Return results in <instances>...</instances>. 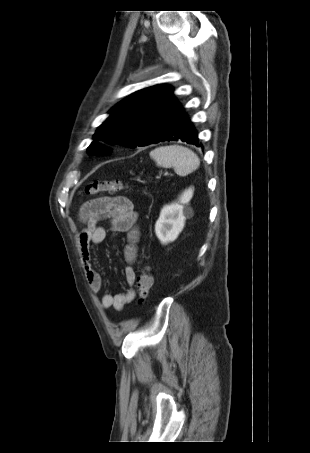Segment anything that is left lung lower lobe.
Listing matches in <instances>:
<instances>
[{"label": "left lung lower lobe", "instance_id": "1", "mask_svg": "<svg viewBox=\"0 0 310 453\" xmlns=\"http://www.w3.org/2000/svg\"><path fill=\"white\" fill-rule=\"evenodd\" d=\"M180 140L198 147L202 146L199 142L196 129L181 105L178 106L167 132L160 141Z\"/></svg>", "mask_w": 310, "mask_h": 453}]
</instances>
